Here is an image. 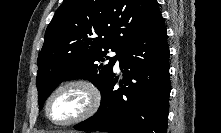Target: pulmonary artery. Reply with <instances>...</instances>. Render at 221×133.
I'll return each mask as SVG.
<instances>
[{"mask_svg":"<svg viewBox=\"0 0 221 133\" xmlns=\"http://www.w3.org/2000/svg\"><path fill=\"white\" fill-rule=\"evenodd\" d=\"M111 56H116V53H115V52H112V53H111ZM119 64H120V59L117 58V61H116V69L119 68Z\"/></svg>","mask_w":221,"mask_h":133,"instance_id":"obj_1","label":"pulmonary artery"}]
</instances>
